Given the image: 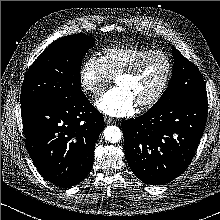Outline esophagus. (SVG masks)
<instances>
[{"label":"esophagus","instance_id":"esophagus-1","mask_svg":"<svg viewBox=\"0 0 220 220\" xmlns=\"http://www.w3.org/2000/svg\"><path fill=\"white\" fill-rule=\"evenodd\" d=\"M104 121H105L106 124H112V123L115 122L114 119H112V118H110V117H108V116H105V117H104Z\"/></svg>","mask_w":220,"mask_h":220}]
</instances>
